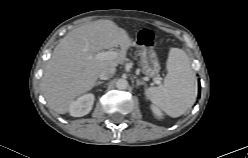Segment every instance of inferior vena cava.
Segmentation results:
<instances>
[{
    "instance_id": "1",
    "label": "inferior vena cava",
    "mask_w": 248,
    "mask_h": 158,
    "mask_svg": "<svg viewBox=\"0 0 248 158\" xmlns=\"http://www.w3.org/2000/svg\"><path fill=\"white\" fill-rule=\"evenodd\" d=\"M115 72H116V68L115 67H113V66H111V67H106V68H104L101 72H100V74H99V78L101 79V80H108V79H110L114 74H115Z\"/></svg>"
}]
</instances>
